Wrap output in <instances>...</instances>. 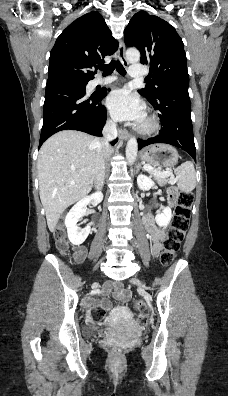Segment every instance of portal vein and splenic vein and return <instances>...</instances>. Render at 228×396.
Wrapping results in <instances>:
<instances>
[{
	"instance_id": "obj_1",
	"label": "portal vein and splenic vein",
	"mask_w": 228,
	"mask_h": 396,
	"mask_svg": "<svg viewBox=\"0 0 228 396\" xmlns=\"http://www.w3.org/2000/svg\"><path fill=\"white\" fill-rule=\"evenodd\" d=\"M144 169L145 170H152V167L151 166H149V165H145L144 166ZM156 174H158V175H160V176H173V174L170 172V171H158V172H156Z\"/></svg>"
}]
</instances>
